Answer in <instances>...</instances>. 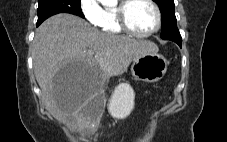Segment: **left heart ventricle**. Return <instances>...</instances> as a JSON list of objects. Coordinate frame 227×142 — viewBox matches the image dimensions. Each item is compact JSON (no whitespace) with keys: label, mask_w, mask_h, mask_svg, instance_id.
Listing matches in <instances>:
<instances>
[{"label":"left heart ventricle","mask_w":227,"mask_h":142,"mask_svg":"<svg viewBox=\"0 0 227 142\" xmlns=\"http://www.w3.org/2000/svg\"><path fill=\"white\" fill-rule=\"evenodd\" d=\"M128 21L135 31L148 32L156 25L155 10L146 0H134L128 9Z\"/></svg>","instance_id":"1"}]
</instances>
